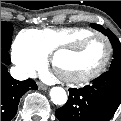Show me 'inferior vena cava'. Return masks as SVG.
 <instances>
[{"label":"inferior vena cava","instance_id":"1","mask_svg":"<svg viewBox=\"0 0 121 121\" xmlns=\"http://www.w3.org/2000/svg\"><path fill=\"white\" fill-rule=\"evenodd\" d=\"M11 74L18 80H24L28 77L32 79L37 78L36 72L34 70H21L15 67L11 69Z\"/></svg>","mask_w":121,"mask_h":121}]
</instances>
